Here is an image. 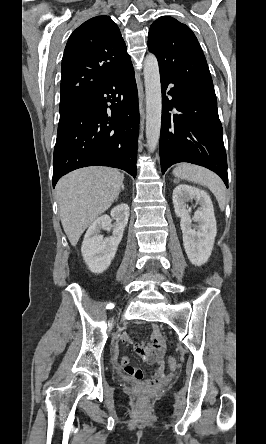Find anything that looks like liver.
Segmentation results:
<instances>
[{"label":"liver","instance_id":"liver-1","mask_svg":"<svg viewBox=\"0 0 266 444\" xmlns=\"http://www.w3.org/2000/svg\"><path fill=\"white\" fill-rule=\"evenodd\" d=\"M124 175L108 167L75 170L56 185L63 229L75 246L82 233L118 198Z\"/></svg>","mask_w":266,"mask_h":444}]
</instances>
